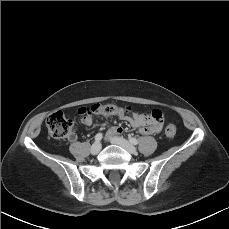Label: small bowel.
I'll return each mask as SVG.
<instances>
[{"label": "small bowel", "instance_id": "small-bowel-1", "mask_svg": "<svg viewBox=\"0 0 229 229\" xmlns=\"http://www.w3.org/2000/svg\"><path fill=\"white\" fill-rule=\"evenodd\" d=\"M119 118L128 122L133 127L140 128V132L144 135H148L151 133H154L155 131L146 127L147 121V114L140 113V112H134L131 115L120 113ZM82 123L86 126H91L93 124V119L91 116H86L82 119ZM123 129L119 126H110L107 130V136L108 138H112L114 136L120 135L122 133ZM75 135L71 136V139H74Z\"/></svg>", "mask_w": 229, "mask_h": 229}]
</instances>
